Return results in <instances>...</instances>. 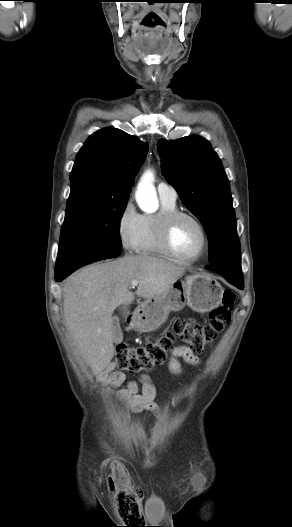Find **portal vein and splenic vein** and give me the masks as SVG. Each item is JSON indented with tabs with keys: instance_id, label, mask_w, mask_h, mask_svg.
<instances>
[{
	"instance_id": "18ae733b",
	"label": "portal vein and splenic vein",
	"mask_w": 292,
	"mask_h": 527,
	"mask_svg": "<svg viewBox=\"0 0 292 527\" xmlns=\"http://www.w3.org/2000/svg\"><path fill=\"white\" fill-rule=\"evenodd\" d=\"M138 284H139V281H137V280H133V281L131 282V287L134 288V287H136Z\"/></svg>"
}]
</instances>
